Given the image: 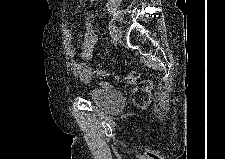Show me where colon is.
<instances>
[{"label":"colon","mask_w":225,"mask_h":159,"mask_svg":"<svg viewBox=\"0 0 225 159\" xmlns=\"http://www.w3.org/2000/svg\"><path fill=\"white\" fill-rule=\"evenodd\" d=\"M95 74L101 79L110 76V73L104 69H96ZM123 85H132L137 82L138 75L136 72H130L124 77H117ZM154 83L150 79L139 82L132 91V101L137 107H146L150 103Z\"/></svg>","instance_id":"1"}]
</instances>
